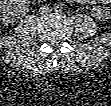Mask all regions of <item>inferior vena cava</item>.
<instances>
[{"label":"inferior vena cava","instance_id":"inferior-vena-cava-1","mask_svg":"<svg viewBox=\"0 0 111 106\" xmlns=\"http://www.w3.org/2000/svg\"><path fill=\"white\" fill-rule=\"evenodd\" d=\"M51 11H52V9L48 5H43L39 9L40 14H47V13H50Z\"/></svg>","mask_w":111,"mask_h":106}]
</instances>
